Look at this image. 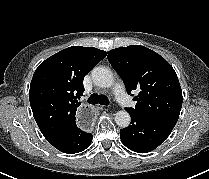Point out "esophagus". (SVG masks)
<instances>
[{
    "mask_svg": "<svg viewBox=\"0 0 209 179\" xmlns=\"http://www.w3.org/2000/svg\"><path fill=\"white\" fill-rule=\"evenodd\" d=\"M95 116L96 109L93 106H82L78 112V125L84 131H91L95 127Z\"/></svg>",
    "mask_w": 209,
    "mask_h": 179,
    "instance_id": "1",
    "label": "esophagus"
}]
</instances>
